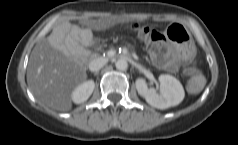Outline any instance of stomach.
I'll list each match as a JSON object with an SVG mask.
<instances>
[{
	"label": "stomach",
	"mask_w": 238,
	"mask_h": 145,
	"mask_svg": "<svg viewBox=\"0 0 238 145\" xmlns=\"http://www.w3.org/2000/svg\"><path fill=\"white\" fill-rule=\"evenodd\" d=\"M166 30L168 40L174 44L182 57L191 58L198 53L199 45L194 35L187 31L183 25H180L179 22H168Z\"/></svg>",
	"instance_id": "0dacf381"
}]
</instances>
